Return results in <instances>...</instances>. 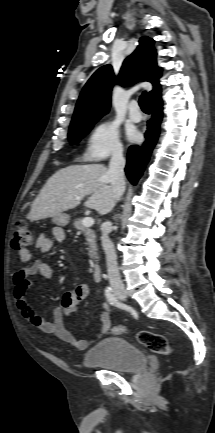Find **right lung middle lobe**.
Returning a JSON list of instances; mask_svg holds the SVG:
<instances>
[{
    "instance_id": "dd1d6c3e",
    "label": "right lung middle lobe",
    "mask_w": 215,
    "mask_h": 433,
    "mask_svg": "<svg viewBox=\"0 0 215 433\" xmlns=\"http://www.w3.org/2000/svg\"><path fill=\"white\" fill-rule=\"evenodd\" d=\"M98 120H91L70 125L68 138L71 144L79 142Z\"/></svg>"
}]
</instances>
